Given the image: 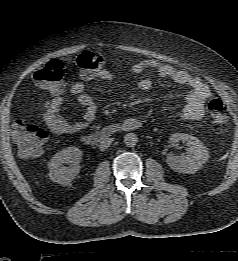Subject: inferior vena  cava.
Here are the masks:
<instances>
[{"label": "inferior vena cava", "instance_id": "1", "mask_svg": "<svg viewBox=\"0 0 238 261\" xmlns=\"http://www.w3.org/2000/svg\"><path fill=\"white\" fill-rule=\"evenodd\" d=\"M112 141H113L112 138H104V139H102L100 144H99V149L101 151L106 150L108 147H110Z\"/></svg>", "mask_w": 238, "mask_h": 261}]
</instances>
